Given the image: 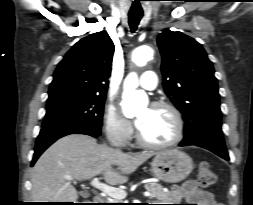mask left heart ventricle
Here are the masks:
<instances>
[{
	"instance_id": "1",
	"label": "left heart ventricle",
	"mask_w": 253,
	"mask_h": 205,
	"mask_svg": "<svg viewBox=\"0 0 253 205\" xmlns=\"http://www.w3.org/2000/svg\"><path fill=\"white\" fill-rule=\"evenodd\" d=\"M141 120L138 130L141 136L152 143H164L171 140L176 131L172 114L163 108L145 107L137 113Z\"/></svg>"
}]
</instances>
